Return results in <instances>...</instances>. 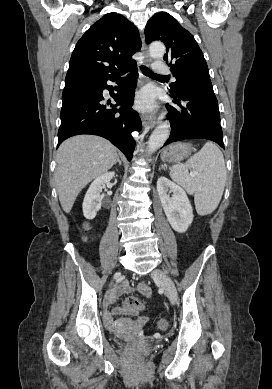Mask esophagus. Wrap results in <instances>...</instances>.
Listing matches in <instances>:
<instances>
[{
	"instance_id": "34e87169",
	"label": "esophagus",
	"mask_w": 272,
	"mask_h": 389,
	"mask_svg": "<svg viewBox=\"0 0 272 389\" xmlns=\"http://www.w3.org/2000/svg\"><path fill=\"white\" fill-rule=\"evenodd\" d=\"M142 53L144 55V60L143 62L145 64H149L151 62V59L149 57V54H148V47L145 43V41L143 40V45H142ZM143 123L145 126H150V127H154L157 123H159V120L160 118H157L153 115H148V114H144L143 117Z\"/></svg>"
}]
</instances>
